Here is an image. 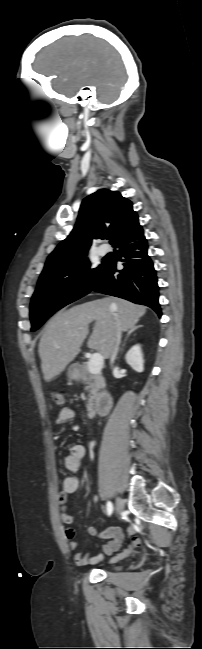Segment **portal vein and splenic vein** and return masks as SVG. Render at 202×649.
<instances>
[{"label":"portal vein and splenic vein","instance_id":"1","mask_svg":"<svg viewBox=\"0 0 202 649\" xmlns=\"http://www.w3.org/2000/svg\"><path fill=\"white\" fill-rule=\"evenodd\" d=\"M104 364L103 356L100 353H94L89 360L88 369L91 374L101 372Z\"/></svg>","mask_w":202,"mask_h":649}]
</instances>
